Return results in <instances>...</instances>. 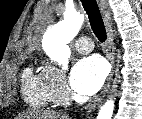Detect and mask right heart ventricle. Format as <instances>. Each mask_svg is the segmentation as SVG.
<instances>
[{
    "instance_id": "e07e8e85",
    "label": "right heart ventricle",
    "mask_w": 142,
    "mask_h": 119,
    "mask_svg": "<svg viewBox=\"0 0 142 119\" xmlns=\"http://www.w3.org/2000/svg\"><path fill=\"white\" fill-rule=\"evenodd\" d=\"M23 96L27 103L36 107L51 104L52 94L47 77L43 72L34 73L31 69L24 74Z\"/></svg>"
}]
</instances>
